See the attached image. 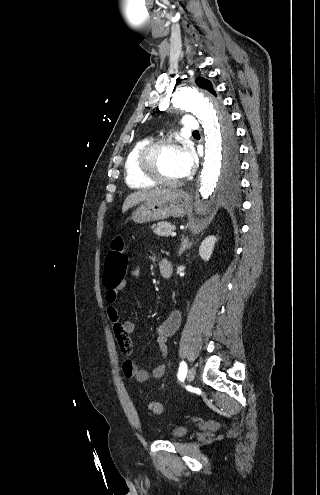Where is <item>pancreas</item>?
Masks as SVG:
<instances>
[{"label": "pancreas", "mask_w": 320, "mask_h": 495, "mask_svg": "<svg viewBox=\"0 0 320 495\" xmlns=\"http://www.w3.org/2000/svg\"><path fill=\"white\" fill-rule=\"evenodd\" d=\"M151 228L159 236H169L175 230V226L168 222H158L153 224Z\"/></svg>", "instance_id": "pancreas-1"}]
</instances>
